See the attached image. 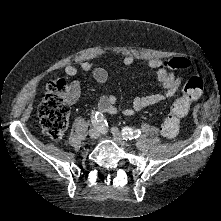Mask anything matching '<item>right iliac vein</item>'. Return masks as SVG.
I'll list each match as a JSON object with an SVG mask.
<instances>
[{"instance_id": "right-iliac-vein-1", "label": "right iliac vein", "mask_w": 221, "mask_h": 221, "mask_svg": "<svg viewBox=\"0 0 221 221\" xmlns=\"http://www.w3.org/2000/svg\"><path fill=\"white\" fill-rule=\"evenodd\" d=\"M100 133H99V130L96 129V128H93L89 131V137L92 139V140H95L99 137Z\"/></svg>"}]
</instances>
